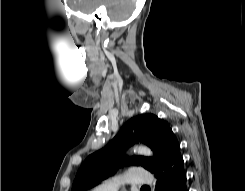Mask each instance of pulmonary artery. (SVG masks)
Returning <instances> with one entry per match:
<instances>
[{
    "mask_svg": "<svg viewBox=\"0 0 245 191\" xmlns=\"http://www.w3.org/2000/svg\"><path fill=\"white\" fill-rule=\"evenodd\" d=\"M153 183V175L140 167L130 168L125 174L116 176L95 187L92 191H118L119 187L128 184L148 186Z\"/></svg>",
    "mask_w": 245,
    "mask_h": 191,
    "instance_id": "pulmonary-artery-1",
    "label": "pulmonary artery"
}]
</instances>
